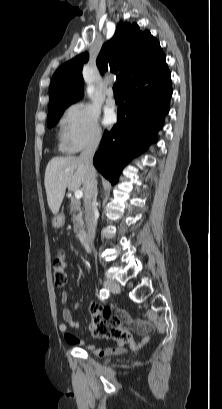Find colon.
<instances>
[{"label": "colon", "mask_w": 222, "mask_h": 409, "mask_svg": "<svg viewBox=\"0 0 222 409\" xmlns=\"http://www.w3.org/2000/svg\"><path fill=\"white\" fill-rule=\"evenodd\" d=\"M67 257L63 250H59L52 264L54 285L57 288L65 286L67 281ZM114 311L110 307H93L92 333L96 337L112 338L117 342H124L128 337L119 326V322L112 318Z\"/></svg>", "instance_id": "colon-1"}]
</instances>
